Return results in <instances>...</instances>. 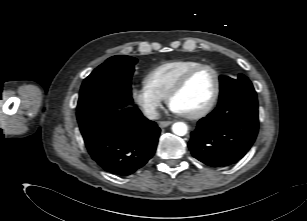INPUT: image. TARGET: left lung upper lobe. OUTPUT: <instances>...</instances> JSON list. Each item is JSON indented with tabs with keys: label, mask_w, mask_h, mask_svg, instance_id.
<instances>
[{
	"label": "left lung upper lobe",
	"mask_w": 307,
	"mask_h": 221,
	"mask_svg": "<svg viewBox=\"0 0 307 221\" xmlns=\"http://www.w3.org/2000/svg\"><path fill=\"white\" fill-rule=\"evenodd\" d=\"M252 93H255L253 85L243 74H239L237 80L226 76H220V98L218 104L243 94Z\"/></svg>",
	"instance_id": "5c2ea615"
}]
</instances>
